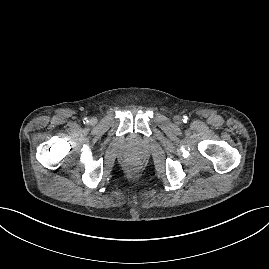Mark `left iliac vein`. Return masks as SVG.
<instances>
[{
	"instance_id": "obj_1",
	"label": "left iliac vein",
	"mask_w": 269,
	"mask_h": 269,
	"mask_svg": "<svg viewBox=\"0 0 269 269\" xmlns=\"http://www.w3.org/2000/svg\"><path fill=\"white\" fill-rule=\"evenodd\" d=\"M174 121H175L176 124H180L181 123V118L179 116H175Z\"/></svg>"
}]
</instances>
